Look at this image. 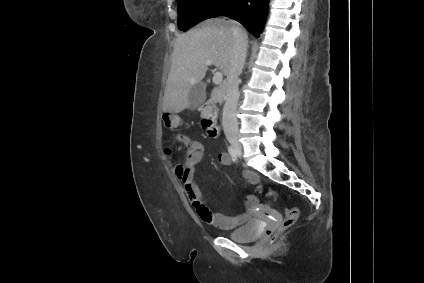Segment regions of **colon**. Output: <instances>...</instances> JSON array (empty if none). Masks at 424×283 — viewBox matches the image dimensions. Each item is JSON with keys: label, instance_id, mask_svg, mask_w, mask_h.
<instances>
[{"label": "colon", "instance_id": "5ec220e1", "mask_svg": "<svg viewBox=\"0 0 424 283\" xmlns=\"http://www.w3.org/2000/svg\"><path fill=\"white\" fill-rule=\"evenodd\" d=\"M181 119L177 114L174 113H165L163 115V123L164 126L169 130H174L180 126ZM166 154L173 155L175 152V148L168 147L165 149ZM271 195H273L271 193ZM298 218V209L295 207H290L285 209V216L282 221V224L278 229H269L266 231L267 237L271 238L272 240L275 238L277 233L279 231L288 229L289 227L293 226Z\"/></svg>", "mask_w": 424, "mask_h": 283}]
</instances>
